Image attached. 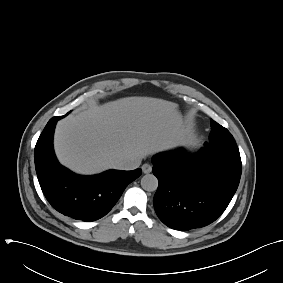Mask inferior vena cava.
Masks as SVG:
<instances>
[{
	"label": "inferior vena cava",
	"instance_id": "obj_1",
	"mask_svg": "<svg viewBox=\"0 0 283 283\" xmlns=\"http://www.w3.org/2000/svg\"><path fill=\"white\" fill-rule=\"evenodd\" d=\"M140 163V160L120 159L115 162L114 168L120 170H133L139 167Z\"/></svg>",
	"mask_w": 283,
	"mask_h": 283
}]
</instances>
